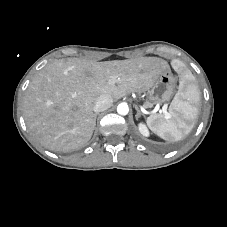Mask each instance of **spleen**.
<instances>
[{
    "instance_id": "3e777b00",
    "label": "spleen",
    "mask_w": 227,
    "mask_h": 227,
    "mask_svg": "<svg viewBox=\"0 0 227 227\" xmlns=\"http://www.w3.org/2000/svg\"><path fill=\"white\" fill-rule=\"evenodd\" d=\"M175 68H179L175 64ZM199 104V90L190 71L181 74L180 88L172 101L168 116L156 114L148 117L149 128L166 141H180L193 128V121L197 118Z\"/></svg>"
}]
</instances>
